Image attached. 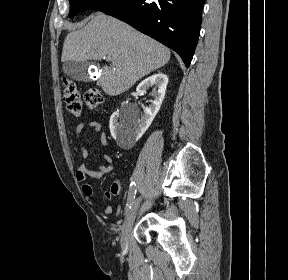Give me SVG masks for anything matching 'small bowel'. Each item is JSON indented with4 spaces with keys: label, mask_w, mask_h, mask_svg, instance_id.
Masks as SVG:
<instances>
[{
    "label": "small bowel",
    "mask_w": 288,
    "mask_h": 280,
    "mask_svg": "<svg viewBox=\"0 0 288 280\" xmlns=\"http://www.w3.org/2000/svg\"><path fill=\"white\" fill-rule=\"evenodd\" d=\"M88 128L93 130L94 132L100 135V141L103 146L108 145V138L106 133L102 129V124L98 121H91L88 124ZM85 129V125L83 123H79L76 126V137L80 138L82 132ZM80 155L83 159H87L89 156V152L86 147L80 146ZM103 160L106 162L104 165H98L95 169H90L85 164L79 166L76 177L80 184L81 190L86 198V200L92 204L97 205V201L95 199L94 191L91 185L88 183V178L101 179L107 173L111 172L113 169V159L110 155L104 154ZM120 193V185L118 182L112 184L111 188L105 192V197L107 199H112ZM105 214H111L113 212V207L107 205L103 209Z\"/></svg>",
    "instance_id": "small-bowel-1"
}]
</instances>
